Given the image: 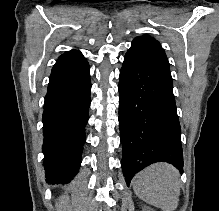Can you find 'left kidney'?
<instances>
[{
    "label": "left kidney",
    "mask_w": 219,
    "mask_h": 211,
    "mask_svg": "<svg viewBox=\"0 0 219 211\" xmlns=\"http://www.w3.org/2000/svg\"><path fill=\"white\" fill-rule=\"evenodd\" d=\"M147 211H151L150 207H148Z\"/></svg>",
    "instance_id": "5707ae66"
}]
</instances>
